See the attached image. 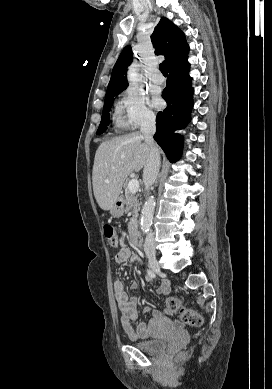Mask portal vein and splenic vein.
<instances>
[{"mask_svg": "<svg viewBox=\"0 0 272 389\" xmlns=\"http://www.w3.org/2000/svg\"><path fill=\"white\" fill-rule=\"evenodd\" d=\"M139 189V181L137 179H132L128 183V190L131 193H136Z\"/></svg>", "mask_w": 272, "mask_h": 389, "instance_id": "portal-vein-and-splenic-vein-1", "label": "portal vein and splenic vein"}]
</instances>
